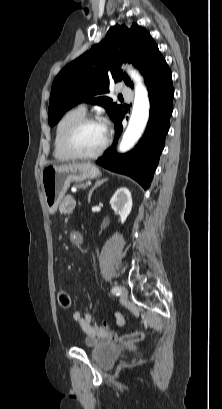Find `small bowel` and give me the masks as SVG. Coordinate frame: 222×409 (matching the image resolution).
<instances>
[{"label":"small bowel","instance_id":"obj_1","mask_svg":"<svg viewBox=\"0 0 222 409\" xmlns=\"http://www.w3.org/2000/svg\"><path fill=\"white\" fill-rule=\"evenodd\" d=\"M76 208V201L72 196H67L61 204L59 205V211L63 214H70ZM98 306V299L95 298L93 300L92 307L90 311L83 317L79 311H75L73 313V319L79 323L82 330L87 335L86 337V345L87 346H95L98 344L108 343L110 341V337L107 331L99 325L93 324L92 317L93 314ZM115 319L117 325L121 326L124 324V318L122 314L116 313Z\"/></svg>","mask_w":222,"mask_h":409}]
</instances>
